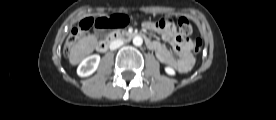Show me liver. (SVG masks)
<instances>
[{
    "label": "liver",
    "instance_id": "1",
    "mask_svg": "<svg viewBox=\"0 0 276 120\" xmlns=\"http://www.w3.org/2000/svg\"><path fill=\"white\" fill-rule=\"evenodd\" d=\"M97 43L94 35H88L80 39L69 49V62L71 65L78 64L84 57L90 54Z\"/></svg>",
    "mask_w": 276,
    "mask_h": 120
}]
</instances>
